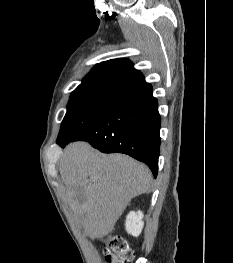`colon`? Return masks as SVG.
I'll return each mask as SVG.
<instances>
[{
    "instance_id": "5ec220e1",
    "label": "colon",
    "mask_w": 233,
    "mask_h": 263,
    "mask_svg": "<svg viewBox=\"0 0 233 263\" xmlns=\"http://www.w3.org/2000/svg\"><path fill=\"white\" fill-rule=\"evenodd\" d=\"M104 255L107 263H131L135 257V251L121 236H112L106 242Z\"/></svg>"
}]
</instances>
